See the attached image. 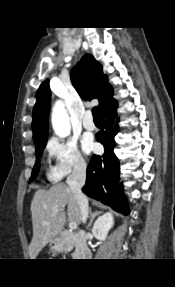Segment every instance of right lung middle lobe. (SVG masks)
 I'll return each instance as SVG.
<instances>
[{
    "label": "right lung middle lobe",
    "mask_w": 175,
    "mask_h": 287,
    "mask_svg": "<svg viewBox=\"0 0 175 287\" xmlns=\"http://www.w3.org/2000/svg\"><path fill=\"white\" fill-rule=\"evenodd\" d=\"M46 142H47V140H43V141H40V142L35 144L37 160H36V163H35L33 171H32L31 180H34L36 178L38 172H39L40 157L42 156V152L46 146Z\"/></svg>",
    "instance_id": "right-lung-middle-lobe-1"
}]
</instances>
